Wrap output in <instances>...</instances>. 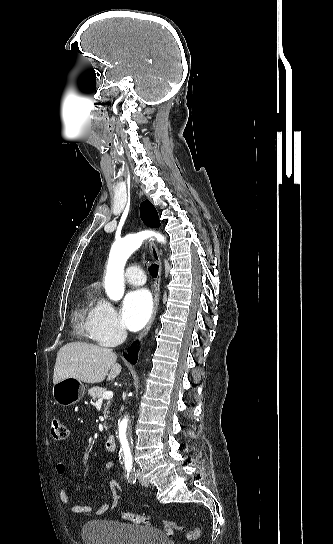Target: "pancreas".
Listing matches in <instances>:
<instances>
[{
  "label": "pancreas",
  "instance_id": "1",
  "mask_svg": "<svg viewBox=\"0 0 333 544\" xmlns=\"http://www.w3.org/2000/svg\"><path fill=\"white\" fill-rule=\"evenodd\" d=\"M105 391H106L105 388L96 386V387L91 388L88 391V394L92 398V400L95 401L97 399L102 398ZM109 403L110 402L108 401L107 406L105 407V417H107V410H108Z\"/></svg>",
  "mask_w": 333,
  "mask_h": 544
}]
</instances>
